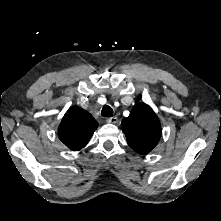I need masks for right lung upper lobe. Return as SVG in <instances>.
Returning a JSON list of instances; mask_svg holds the SVG:
<instances>
[{"label": "right lung upper lobe", "instance_id": "right-lung-upper-lobe-1", "mask_svg": "<svg viewBox=\"0 0 221 221\" xmlns=\"http://www.w3.org/2000/svg\"><path fill=\"white\" fill-rule=\"evenodd\" d=\"M97 127V121L89 112L72 106L59 125L58 136L69 149L78 151L86 146Z\"/></svg>", "mask_w": 221, "mask_h": 221}]
</instances>
